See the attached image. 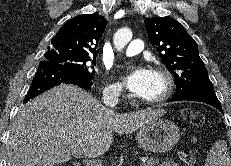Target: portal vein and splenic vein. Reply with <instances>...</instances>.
Here are the masks:
<instances>
[{
  "label": "portal vein and splenic vein",
  "mask_w": 231,
  "mask_h": 166,
  "mask_svg": "<svg viewBox=\"0 0 231 166\" xmlns=\"http://www.w3.org/2000/svg\"><path fill=\"white\" fill-rule=\"evenodd\" d=\"M151 159H148L147 157H142L141 158V161H142V163L144 164V163H146V162H149Z\"/></svg>",
  "instance_id": "portal-vein-and-splenic-vein-1"
}]
</instances>
